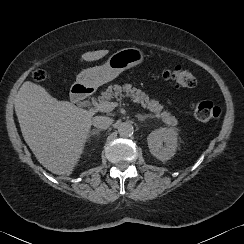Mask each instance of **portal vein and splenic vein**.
Segmentation results:
<instances>
[{
    "label": "portal vein and splenic vein",
    "mask_w": 244,
    "mask_h": 244,
    "mask_svg": "<svg viewBox=\"0 0 244 244\" xmlns=\"http://www.w3.org/2000/svg\"><path fill=\"white\" fill-rule=\"evenodd\" d=\"M120 104L117 102H107V103H95L94 108L100 112H107L113 110L115 107Z\"/></svg>",
    "instance_id": "18ae733b"
}]
</instances>
